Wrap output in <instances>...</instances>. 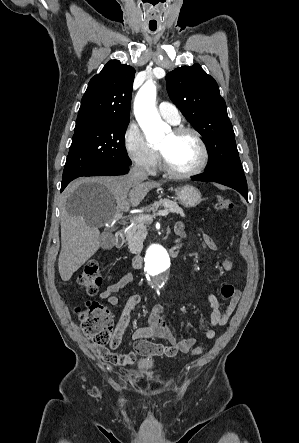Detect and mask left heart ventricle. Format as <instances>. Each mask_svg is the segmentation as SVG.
I'll use <instances>...</instances> for the list:
<instances>
[{
	"mask_svg": "<svg viewBox=\"0 0 299 443\" xmlns=\"http://www.w3.org/2000/svg\"><path fill=\"white\" fill-rule=\"evenodd\" d=\"M160 150L171 168L177 171L193 169L199 162L200 149L191 134L175 136L170 132L159 144Z\"/></svg>",
	"mask_w": 299,
	"mask_h": 443,
	"instance_id": "obj_1",
	"label": "left heart ventricle"
}]
</instances>
